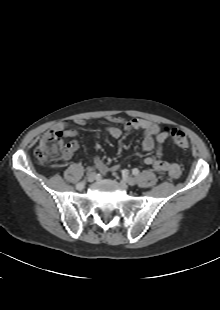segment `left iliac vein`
<instances>
[{"instance_id": "left-iliac-vein-1", "label": "left iliac vein", "mask_w": 220, "mask_h": 310, "mask_svg": "<svg viewBox=\"0 0 220 310\" xmlns=\"http://www.w3.org/2000/svg\"><path fill=\"white\" fill-rule=\"evenodd\" d=\"M126 183L130 186H133L136 184V179L132 176H127L125 179Z\"/></svg>"}]
</instances>
